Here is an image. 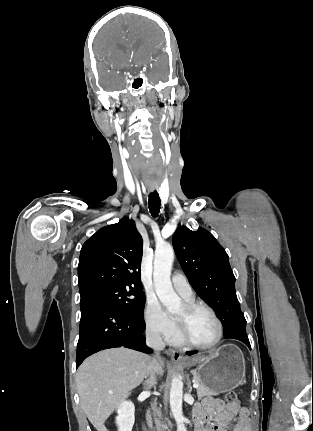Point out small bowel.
Returning <instances> with one entry per match:
<instances>
[{
  "label": "small bowel",
  "instance_id": "obj_1",
  "mask_svg": "<svg viewBox=\"0 0 313 431\" xmlns=\"http://www.w3.org/2000/svg\"><path fill=\"white\" fill-rule=\"evenodd\" d=\"M195 431H253L248 409L225 404L220 399L206 398L194 408Z\"/></svg>",
  "mask_w": 313,
  "mask_h": 431
}]
</instances>
